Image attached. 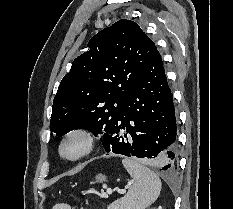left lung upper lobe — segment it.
Instances as JSON below:
<instances>
[{
	"instance_id": "1",
	"label": "left lung upper lobe",
	"mask_w": 233,
	"mask_h": 209,
	"mask_svg": "<svg viewBox=\"0 0 233 209\" xmlns=\"http://www.w3.org/2000/svg\"><path fill=\"white\" fill-rule=\"evenodd\" d=\"M88 47L73 61L54 98L50 130L58 136L79 128L104 136L158 52L140 26L127 19L101 30Z\"/></svg>"
}]
</instances>
